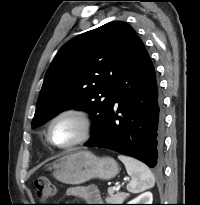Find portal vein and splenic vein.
Masks as SVG:
<instances>
[{
  "label": "portal vein and splenic vein",
  "mask_w": 200,
  "mask_h": 205,
  "mask_svg": "<svg viewBox=\"0 0 200 205\" xmlns=\"http://www.w3.org/2000/svg\"><path fill=\"white\" fill-rule=\"evenodd\" d=\"M117 189H118V187H117V186H114V187H113V190H117Z\"/></svg>",
  "instance_id": "18ae733b"
}]
</instances>
